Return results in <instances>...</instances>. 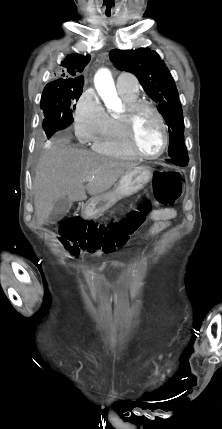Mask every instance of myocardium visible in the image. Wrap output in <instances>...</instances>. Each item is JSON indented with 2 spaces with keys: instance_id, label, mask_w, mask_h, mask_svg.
Wrapping results in <instances>:
<instances>
[{
  "instance_id": "1",
  "label": "myocardium",
  "mask_w": 222,
  "mask_h": 429,
  "mask_svg": "<svg viewBox=\"0 0 222 429\" xmlns=\"http://www.w3.org/2000/svg\"><path fill=\"white\" fill-rule=\"evenodd\" d=\"M143 110H148L154 114L162 130V135H163L162 148L156 154H152V155L145 154L144 152H142L136 143V137H135L136 119L139 113ZM119 116L124 130V137H125L126 144L128 148L133 152V154H135L137 157L142 159L154 160V159L160 158L166 152L169 145L168 129L163 116L155 106H153L148 101L137 99L135 101L125 103L124 110Z\"/></svg>"
}]
</instances>
